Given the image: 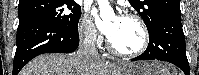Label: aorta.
I'll use <instances>...</instances> for the list:
<instances>
[{
	"label": "aorta",
	"mask_w": 199,
	"mask_h": 75,
	"mask_svg": "<svg viewBox=\"0 0 199 75\" xmlns=\"http://www.w3.org/2000/svg\"><path fill=\"white\" fill-rule=\"evenodd\" d=\"M99 9H100V17L104 21H108L114 17V11L109 5L108 0H97Z\"/></svg>",
	"instance_id": "obj_1"
}]
</instances>
